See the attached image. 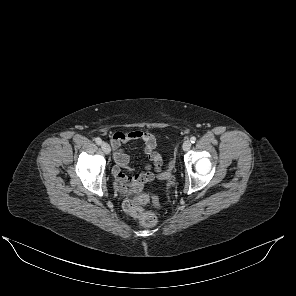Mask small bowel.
I'll list each match as a JSON object with an SVG mask.
<instances>
[{
	"label": "small bowel",
	"mask_w": 296,
	"mask_h": 296,
	"mask_svg": "<svg viewBox=\"0 0 296 296\" xmlns=\"http://www.w3.org/2000/svg\"><path fill=\"white\" fill-rule=\"evenodd\" d=\"M110 144L114 152L115 167L113 175L115 177V186L119 191L125 194L136 193L142 190L145 182L152 180L154 174L150 172V166L145 170L128 176L123 170L130 169V159L127 153L121 148V145L132 140L142 141L145 145L144 153L152 163L155 171H159L162 164L161 155L157 148L158 138L146 131L114 132L110 135Z\"/></svg>",
	"instance_id": "small-bowel-1"
}]
</instances>
